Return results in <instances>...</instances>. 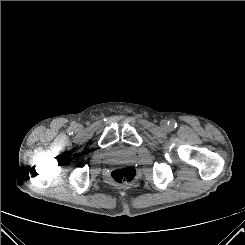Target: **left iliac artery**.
I'll use <instances>...</instances> for the list:
<instances>
[{
	"label": "left iliac artery",
	"mask_w": 245,
	"mask_h": 245,
	"mask_svg": "<svg viewBox=\"0 0 245 245\" xmlns=\"http://www.w3.org/2000/svg\"><path fill=\"white\" fill-rule=\"evenodd\" d=\"M168 125L170 126V128H175L176 126H177V123H176V121L175 120H170L169 122H168Z\"/></svg>",
	"instance_id": "left-iliac-artery-1"
}]
</instances>
